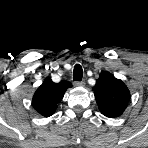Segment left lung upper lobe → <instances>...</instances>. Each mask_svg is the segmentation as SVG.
Segmentation results:
<instances>
[{"label": "left lung upper lobe", "instance_id": "1", "mask_svg": "<svg viewBox=\"0 0 148 148\" xmlns=\"http://www.w3.org/2000/svg\"><path fill=\"white\" fill-rule=\"evenodd\" d=\"M93 90L100 112L109 118L122 115L131 98L123 81L107 71L100 73Z\"/></svg>", "mask_w": 148, "mask_h": 148}]
</instances>
